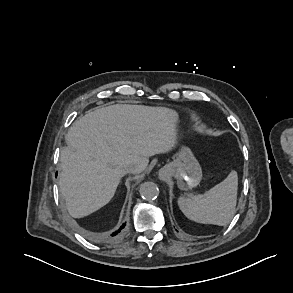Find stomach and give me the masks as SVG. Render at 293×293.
<instances>
[{
	"instance_id": "stomach-1",
	"label": "stomach",
	"mask_w": 293,
	"mask_h": 293,
	"mask_svg": "<svg viewBox=\"0 0 293 293\" xmlns=\"http://www.w3.org/2000/svg\"><path fill=\"white\" fill-rule=\"evenodd\" d=\"M167 175L176 178L181 190L197 186L202 179V169L190 148L183 146L174 160L165 166Z\"/></svg>"
}]
</instances>
